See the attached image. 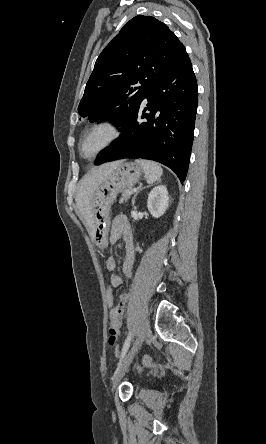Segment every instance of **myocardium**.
Wrapping results in <instances>:
<instances>
[{"label": "myocardium", "instance_id": "myocardium-1", "mask_svg": "<svg viewBox=\"0 0 266 444\" xmlns=\"http://www.w3.org/2000/svg\"><path fill=\"white\" fill-rule=\"evenodd\" d=\"M100 130H103L107 133L105 141L95 152H93L91 155H87L84 152L85 139L89 135ZM121 134H122V128L117 120L109 117L98 119L92 124H90L81 134L78 142L79 153L82 156H90V157L96 156L104 152L108 148H110L120 138Z\"/></svg>", "mask_w": 266, "mask_h": 444}]
</instances>
